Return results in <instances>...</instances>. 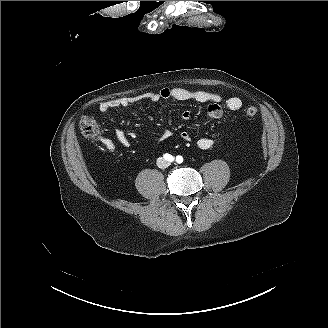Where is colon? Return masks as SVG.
<instances>
[{"label": "colon", "mask_w": 328, "mask_h": 328, "mask_svg": "<svg viewBox=\"0 0 328 328\" xmlns=\"http://www.w3.org/2000/svg\"><path fill=\"white\" fill-rule=\"evenodd\" d=\"M245 112L248 117H254L257 115L258 110L254 106H249L246 108ZM79 127L82 135L88 139H94L99 133V128L96 121L89 116H83L80 119Z\"/></svg>", "instance_id": "1"}]
</instances>
